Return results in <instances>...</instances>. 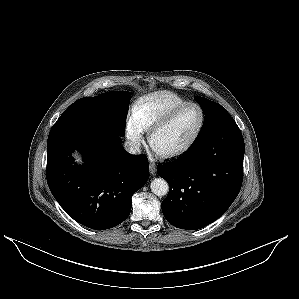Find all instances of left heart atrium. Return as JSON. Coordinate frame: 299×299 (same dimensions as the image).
Here are the masks:
<instances>
[{
	"mask_svg": "<svg viewBox=\"0 0 299 299\" xmlns=\"http://www.w3.org/2000/svg\"><path fill=\"white\" fill-rule=\"evenodd\" d=\"M153 151L156 153H159L154 147H152Z\"/></svg>",
	"mask_w": 299,
	"mask_h": 299,
	"instance_id": "obj_1",
	"label": "left heart atrium"
}]
</instances>
